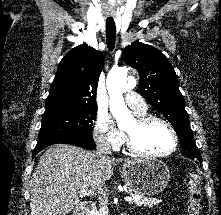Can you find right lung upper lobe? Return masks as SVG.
<instances>
[{"label":"right lung upper lobe","instance_id":"right-lung-upper-lobe-1","mask_svg":"<svg viewBox=\"0 0 221 215\" xmlns=\"http://www.w3.org/2000/svg\"><path fill=\"white\" fill-rule=\"evenodd\" d=\"M101 52L87 45L73 48L59 63L44 114L74 108H97L96 89L103 69Z\"/></svg>","mask_w":221,"mask_h":215}]
</instances>
